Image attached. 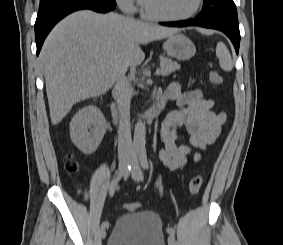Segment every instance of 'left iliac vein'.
Segmentation results:
<instances>
[{"instance_id":"4c4485c4","label":"left iliac vein","mask_w":283,"mask_h":245,"mask_svg":"<svg viewBox=\"0 0 283 245\" xmlns=\"http://www.w3.org/2000/svg\"><path fill=\"white\" fill-rule=\"evenodd\" d=\"M131 164H132V170H131L132 178L137 182L142 181L143 180V173L141 171L138 159L136 157H132ZM168 245H176L174 235L168 236Z\"/></svg>"}]
</instances>
